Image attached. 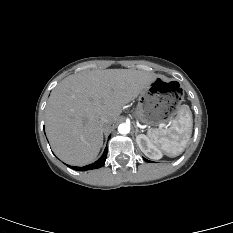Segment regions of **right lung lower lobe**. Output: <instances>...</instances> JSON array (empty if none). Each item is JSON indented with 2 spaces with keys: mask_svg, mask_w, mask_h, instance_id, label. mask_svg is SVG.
I'll list each match as a JSON object with an SVG mask.
<instances>
[{
  "mask_svg": "<svg viewBox=\"0 0 233 233\" xmlns=\"http://www.w3.org/2000/svg\"><path fill=\"white\" fill-rule=\"evenodd\" d=\"M107 157V147L104 150L103 155L93 164L84 166V167H75V166H69L70 168L74 169V170H80V171H86V170H90V169H97L100 168L104 165L105 160Z\"/></svg>",
  "mask_w": 233,
  "mask_h": 233,
  "instance_id": "right-lung-lower-lobe-1",
  "label": "right lung lower lobe"
}]
</instances>
